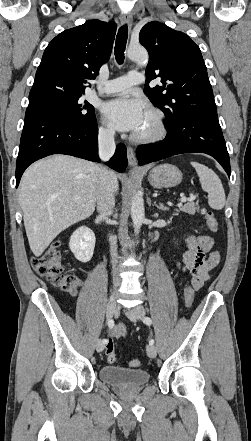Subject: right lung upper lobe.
Masks as SVG:
<instances>
[{
  "label": "right lung upper lobe",
  "instance_id": "cb5924a9",
  "mask_svg": "<svg viewBox=\"0 0 251 441\" xmlns=\"http://www.w3.org/2000/svg\"><path fill=\"white\" fill-rule=\"evenodd\" d=\"M116 23L90 20L57 35L44 51L29 102L55 95H82L110 55Z\"/></svg>",
  "mask_w": 251,
  "mask_h": 441
}]
</instances>
